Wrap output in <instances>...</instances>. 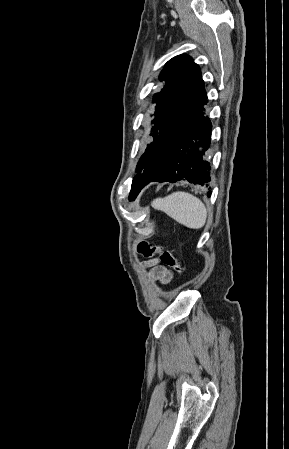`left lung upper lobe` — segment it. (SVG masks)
<instances>
[{"instance_id": "5c2ea615", "label": "left lung upper lobe", "mask_w": 289, "mask_h": 449, "mask_svg": "<svg viewBox=\"0 0 289 449\" xmlns=\"http://www.w3.org/2000/svg\"><path fill=\"white\" fill-rule=\"evenodd\" d=\"M160 80H164L165 85L159 94L154 95L156 110L151 130L153 141L148 144L137 164L130 196L142 182L160 172L165 160V140L187 122L205 94L198 65L184 54L166 63L160 73Z\"/></svg>"}]
</instances>
